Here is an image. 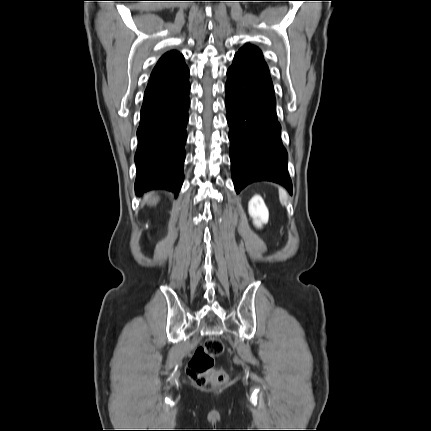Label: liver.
Here are the masks:
<instances>
[{
	"instance_id": "liver-1",
	"label": "liver",
	"mask_w": 431,
	"mask_h": 431,
	"mask_svg": "<svg viewBox=\"0 0 431 431\" xmlns=\"http://www.w3.org/2000/svg\"><path fill=\"white\" fill-rule=\"evenodd\" d=\"M157 201H158L157 197H149L148 198V203L149 204H156Z\"/></svg>"
}]
</instances>
